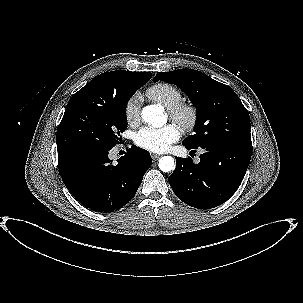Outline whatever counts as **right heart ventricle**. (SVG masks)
Returning <instances> with one entry per match:
<instances>
[{
    "label": "right heart ventricle",
    "instance_id": "right-heart-ventricle-1",
    "mask_svg": "<svg viewBox=\"0 0 303 303\" xmlns=\"http://www.w3.org/2000/svg\"><path fill=\"white\" fill-rule=\"evenodd\" d=\"M147 96L153 101L170 109L183 102L181 91L168 83H158L147 89Z\"/></svg>",
    "mask_w": 303,
    "mask_h": 303
}]
</instances>
